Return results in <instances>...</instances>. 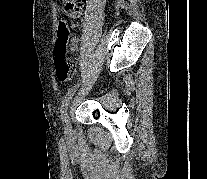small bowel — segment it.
I'll use <instances>...</instances> for the list:
<instances>
[{"label": "small bowel", "mask_w": 207, "mask_h": 179, "mask_svg": "<svg viewBox=\"0 0 207 179\" xmlns=\"http://www.w3.org/2000/svg\"><path fill=\"white\" fill-rule=\"evenodd\" d=\"M83 5H84V4H83L82 1L77 0V9H76L73 13L69 14L68 16H69L70 18H73V19L78 18V17L80 16V13H81V10H82V8H83ZM76 47H77L76 43H73V44H72V48H73V49H76Z\"/></svg>", "instance_id": "c3829d8e"}]
</instances>
